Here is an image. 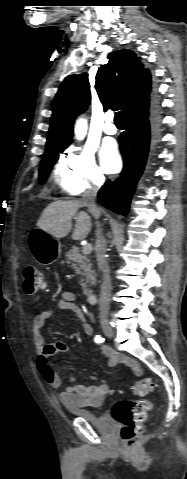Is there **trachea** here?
I'll use <instances>...</instances> for the list:
<instances>
[{
    "instance_id": "obj_1",
    "label": "trachea",
    "mask_w": 187,
    "mask_h": 479,
    "mask_svg": "<svg viewBox=\"0 0 187 479\" xmlns=\"http://www.w3.org/2000/svg\"><path fill=\"white\" fill-rule=\"evenodd\" d=\"M114 122H115L116 125H123L124 124L123 113L121 111H118V112L115 113Z\"/></svg>"
}]
</instances>
